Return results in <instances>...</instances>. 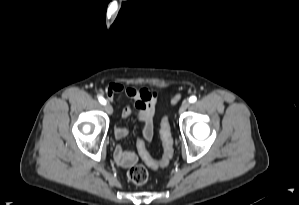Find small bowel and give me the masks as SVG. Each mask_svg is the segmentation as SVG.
I'll use <instances>...</instances> for the list:
<instances>
[{"label": "small bowel", "instance_id": "small-bowel-1", "mask_svg": "<svg viewBox=\"0 0 299 205\" xmlns=\"http://www.w3.org/2000/svg\"><path fill=\"white\" fill-rule=\"evenodd\" d=\"M120 92H124L132 100V105H128L123 109V118H138L141 120L144 123V139L149 141L152 137V120L157 103V93L147 88H124L119 83L110 84L106 90L109 98L115 93ZM127 134L128 129L125 126H120L115 129V137L117 139H123ZM114 158L117 164L124 168L132 167L138 160L137 155L133 151L127 150L122 144L116 146Z\"/></svg>", "mask_w": 299, "mask_h": 205}]
</instances>
